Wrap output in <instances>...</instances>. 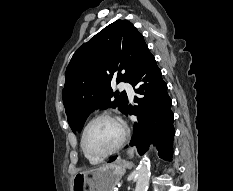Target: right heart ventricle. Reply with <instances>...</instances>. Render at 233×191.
I'll use <instances>...</instances> for the list:
<instances>
[{
  "label": "right heart ventricle",
  "mask_w": 233,
  "mask_h": 191,
  "mask_svg": "<svg viewBox=\"0 0 233 191\" xmlns=\"http://www.w3.org/2000/svg\"><path fill=\"white\" fill-rule=\"evenodd\" d=\"M84 155H85V154H84ZM85 157H86L88 160L92 161V162H97V161H98V160L92 159V158H90V157H88V156H86V155H85Z\"/></svg>",
  "instance_id": "obj_1"
}]
</instances>
